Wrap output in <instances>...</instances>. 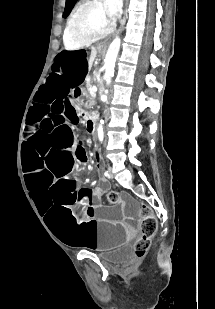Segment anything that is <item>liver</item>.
<instances>
[{
  "label": "liver",
  "mask_w": 215,
  "mask_h": 309,
  "mask_svg": "<svg viewBox=\"0 0 215 309\" xmlns=\"http://www.w3.org/2000/svg\"><path fill=\"white\" fill-rule=\"evenodd\" d=\"M96 54H97V48L96 46H91V54H90V58L88 60V64H89V68H91L95 58H96Z\"/></svg>",
  "instance_id": "liver-1"
}]
</instances>
